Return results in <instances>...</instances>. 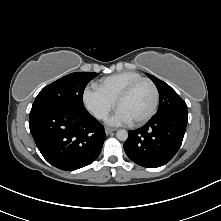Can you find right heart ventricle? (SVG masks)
<instances>
[{
  "instance_id": "1",
  "label": "right heart ventricle",
  "mask_w": 221,
  "mask_h": 221,
  "mask_svg": "<svg viewBox=\"0 0 221 221\" xmlns=\"http://www.w3.org/2000/svg\"><path fill=\"white\" fill-rule=\"evenodd\" d=\"M143 78L134 71H125L102 78L96 87L112 101H116L120 93L132 82Z\"/></svg>"
}]
</instances>
